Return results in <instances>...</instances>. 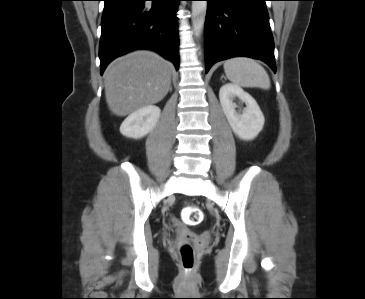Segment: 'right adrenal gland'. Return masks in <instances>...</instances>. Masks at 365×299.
Segmentation results:
<instances>
[{
  "mask_svg": "<svg viewBox=\"0 0 365 299\" xmlns=\"http://www.w3.org/2000/svg\"><path fill=\"white\" fill-rule=\"evenodd\" d=\"M170 91H172V87H170Z\"/></svg>",
  "mask_w": 365,
  "mask_h": 299,
  "instance_id": "1",
  "label": "right adrenal gland"
}]
</instances>
